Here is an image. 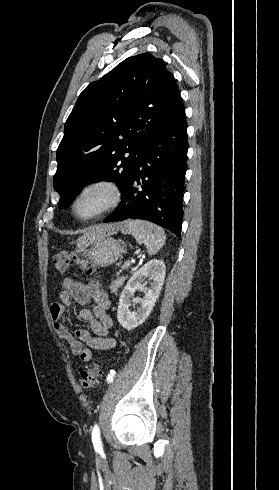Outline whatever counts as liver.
<instances>
[{
    "label": "liver",
    "instance_id": "liver-1",
    "mask_svg": "<svg viewBox=\"0 0 279 490\" xmlns=\"http://www.w3.org/2000/svg\"><path fill=\"white\" fill-rule=\"evenodd\" d=\"M123 226L124 222H119V224H101V226L88 228L86 234L78 238L76 244L80 250H84L93 240H99V238H106V236H111V234H117L119 230H122Z\"/></svg>",
    "mask_w": 279,
    "mask_h": 490
}]
</instances>
